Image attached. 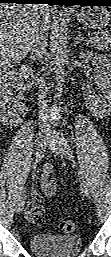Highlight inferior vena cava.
Returning a JSON list of instances; mask_svg holds the SVG:
<instances>
[{
	"instance_id": "inferior-vena-cava-1",
	"label": "inferior vena cava",
	"mask_w": 111,
	"mask_h": 257,
	"mask_svg": "<svg viewBox=\"0 0 111 257\" xmlns=\"http://www.w3.org/2000/svg\"><path fill=\"white\" fill-rule=\"evenodd\" d=\"M48 44V29L46 26L39 24L36 28L32 40L30 43V50L31 54L33 55L34 59L41 61L43 59V55L46 54V47ZM47 86L45 83L44 78L40 81L39 87V103H41L40 109V119H41V128H49L48 120H47V111L48 105L46 101L47 97Z\"/></svg>"
}]
</instances>
